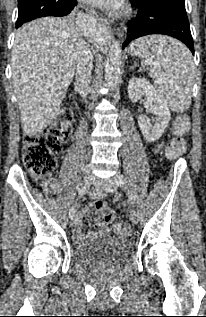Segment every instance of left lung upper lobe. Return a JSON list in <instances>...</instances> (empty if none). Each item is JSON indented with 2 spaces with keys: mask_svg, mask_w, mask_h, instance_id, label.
I'll use <instances>...</instances> for the list:
<instances>
[{
  "mask_svg": "<svg viewBox=\"0 0 206 317\" xmlns=\"http://www.w3.org/2000/svg\"><path fill=\"white\" fill-rule=\"evenodd\" d=\"M140 1L142 0H130L131 3H138ZM159 1H165V2L177 4V5L185 6V0H159Z\"/></svg>",
  "mask_w": 206,
  "mask_h": 317,
  "instance_id": "1",
  "label": "left lung upper lobe"
}]
</instances>
